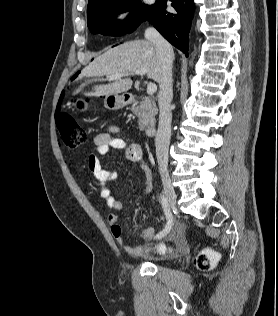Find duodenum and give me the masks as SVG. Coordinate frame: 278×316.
Instances as JSON below:
<instances>
[{
  "mask_svg": "<svg viewBox=\"0 0 278 316\" xmlns=\"http://www.w3.org/2000/svg\"><path fill=\"white\" fill-rule=\"evenodd\" d=\"M124 100H125L126 103H132V102L135 101V98L132 95H126ZM155 133H156V127L155 126H149V127H147L145 129V134L147 136H153V135H155Z\"/></svg>",
  "mask_w": 278,
  "mask_h": 316,
  "instance_id": "obj_1",
  "label": "duodenum"
}]
</instances>
